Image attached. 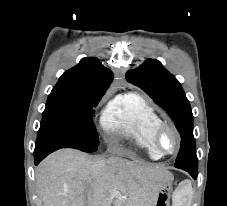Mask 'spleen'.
<instances>
[{
  "label": "spleen",
  "instance_id": "spleen-1",
  "mask_svg": "<svg viewBox=\"0 0 227 206\" xmlns=\"http://www.w3.org/2000/svg\"><path fill=\"white\" fill-rule=\"evenodd\" d=\"M191 195V184H187L177 189L173 195V206H190Z\"/></svg>",
  "mask_w": 227,
  "mask_h": 206
}]
</instances>
